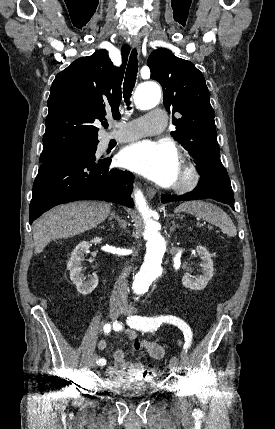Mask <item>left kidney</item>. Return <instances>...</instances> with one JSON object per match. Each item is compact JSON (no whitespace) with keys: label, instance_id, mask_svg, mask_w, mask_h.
I'll return each instance as SVG.
<instances>
[{"label":"left kidney","instance_id":"obj_1","mask_svg":"<svg viewBox=\"0 0 275 429\" xmlns=\"http://www.w3.org/2000/svg\"><path fill=\"white\" fill-rule=\"evenodd\" d=\"M196 251L202 260V275L195 280L191 279L188 275H184L182 278V284L186 288L199 291L204 289L209 280L213 277L214 268L211 255L205 247L197 246Z\"/></svg>","mask_w":275,"mask_h":429}]
</instances>
